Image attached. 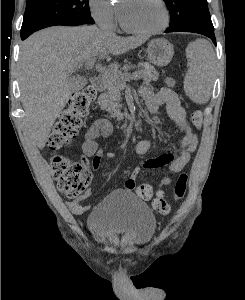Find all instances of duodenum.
<instances>
[{"instance_id": "410a0bca", "label": "duodenum", "mask_w": 245, "mask_h": 300, "mask_svg": "<svg viewBox=\"0 0 245 300\" xmlns=\"http://www.w3.org/2000/svg\"><path fill=\"white\" fill-rule=\"evenodd\" d=\"M91 86L96 91V93H100L104 89V81L99 76H93L91 78ZM96 107H98L97 103H96Z\"/></svg>"}]
</instances>
